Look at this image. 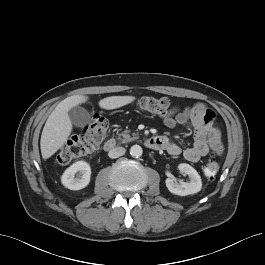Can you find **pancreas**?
I'll return each instance as SVG.
<instances>
[{
  "mask_svg": "<svg viewBox=\"0 0 265 265\" xmlns=\"http://www.w3.org/2000/svg\"><path fill=\"white\" fill-rule=\"evenodd\" d=\"M118 139H120L122 143H126V142H130V141H134V140L138 139V134L133 133V135L131 137L130 131L125 130L124 132L119 134Z\"/></svg>",
  "mask_w": 265,
  "mask_h": 265,
  "instance_id": "pancreas-1",
  "label": "pancreas"
}]
</instances>
